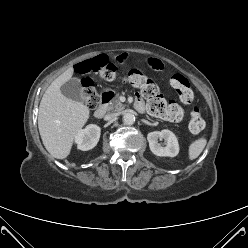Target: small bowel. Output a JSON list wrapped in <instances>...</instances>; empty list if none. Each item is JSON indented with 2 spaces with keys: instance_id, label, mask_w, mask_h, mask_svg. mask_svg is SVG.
<instances>
[{
  "instance_id": "obj_1",
  "label": "small bowel",
  "mask_w": 248,
  "mask_h": 248,
  "mask_svg": "<svg viewBox=\"0 0 248 248\" xmlns=\"http://www.w3.org/2000/svg\"><path fill=\"white\" fill-rule=\"evenodd\" d=\"M124 60H125V57L123 55L120 56L119 62H123ZM151 65L153 66V68H159V64L156 63V62H152ZM137 102L140 103V107H137V109L143 111L144 110V104H143V102L140 99H138ZM180 119H181V115L178 118L171 119V120H173V121H179Z\"/></svg>"
}]
</instances>
